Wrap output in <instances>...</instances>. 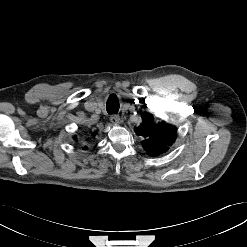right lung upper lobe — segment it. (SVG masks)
<instances>
[{
    "label": "right lung upper lobe",
    "instance_id": "1",
    "mask_svg": "<svg viewBox=\"0 0 247 247\" xmlns=\"http://www.w3.org/2000/svg\"><path fill=\"white\" fill-rule=\"evenodd\" d=\"M95 134H96V133H93V135H95ZM75 139H76V137H75ZM84 149H87V147L85 146Z\"/></svg>",
    "mask_w": 247,
    "mask_h": 247
}]
</instances>
